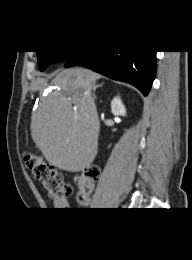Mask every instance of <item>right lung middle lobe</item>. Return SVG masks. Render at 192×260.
Here are the masks:
<instances>
[{"mask_svg":"<svg viewBox=\"0 0 192 260\" xmlns=\"http://www.w3.org/2000/svg\"><path fill=\"white\" fill-rule=\"evenodd\" d=\"M39 69L43 71L52 63L65 61L73 52L72 51H36Z\"/></svg>","mask_w":192,"mask_h":260,"instance_id":"1","label":"right lung middle lobe"}]
</instances>
